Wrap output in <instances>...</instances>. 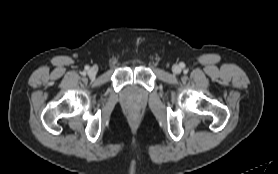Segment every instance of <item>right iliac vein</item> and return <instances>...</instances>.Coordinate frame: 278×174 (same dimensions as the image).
<instances>
[{
    "label": "right iliac vein",
    "mask_w": 278,
    "mask_h": 174,
    "mask_svg": "<svg viewBox=\"0 0 278 174\" xmlns=\"http://www.w3.org/2000/svg\"><path fill=\"white\" fill-rule=\"evenodd\" d=\"M97 74V68L92 67L91 69L88 70V75L90 77H94Z\"/></svg>",
    "instance_id": "63e3f726"
}]
</instances>
